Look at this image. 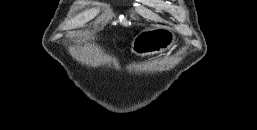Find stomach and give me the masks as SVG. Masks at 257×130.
Masks as SVG:
<instances>
[{"instance_id": "0dacf381", "label": "stomach", "mask_w": 257, "mask_h": 130, "mask_svg": "<svg viewBox=\"0 0 257 130\" xmlns=\"http://www.w3.org/2000/svg\"><path fill=\"white\" fill-rule=\"evenodd\" d=\"M176 46L175 34L166 27H153L141 31L131 42V52L148 56L171 51Z\"/></svg>"}]
</instances>
